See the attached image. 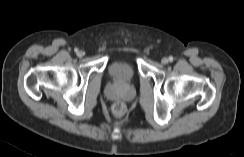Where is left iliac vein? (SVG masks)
<instances>
[{"label": "left iliac vein", "mask_w": 244, "mask_h": 157, "mask_svg": "<svg viewBox=\"0 0 244 157\" xmlns=\"http://www.w3.org/2000/svg\"><path fill=\"white\" fill-rule=\"evenodd\" d=\"M162 64H167L168 63V59L166 57L162 58L161 60Z\"/></svg>", "instance_id": "left-iliac-vein-1"}]
</instances>
